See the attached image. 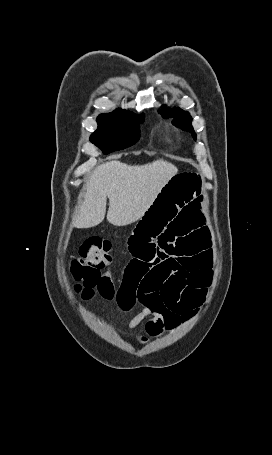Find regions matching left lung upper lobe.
<instances>
[{
    "instance_id": "obj_1",
    "label": "left lung upper lobe",
    "mask_w": 272,
    "mask_h": 455,
    "mask_svg": "<svg viewBox=\"0 0 272 455\" xmlns=\"http://www.w3.org/2000/svg\"><path fill=\"white\" fill-rule=\"evenodd\" d=\"M160 114L164 117H172L174 118L172 123L176 125L177 127H180L181 129L191 132L194 137H196V134L194 133L193 127L191 125L192 118L188 114V112H185L181 110L180 108H173L169 109L166 108V106H163L162 109L159 111Z\"/></svg>"
}]
</instances>
